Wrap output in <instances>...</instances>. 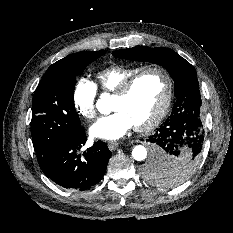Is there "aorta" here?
Listing matches in <instances>:
<instances>
[{"mask_svg": "<svg viewBox=\"0 0 233 233\" xmlns=\"http://www.w3.org/2000/svg\"><path fill=\"white\" fill-rule=\"evenodd\" d=\"M97 109L101 113H106L108 109V102L106 95H102L96 104ZM132 156L137 161H143L147 157V149L142 145H136L132 150Z\"/></svg>", "mask_w": 233, "mask_h": 233, "instance_id": "1", "label": "aorta"}]
</instances>
